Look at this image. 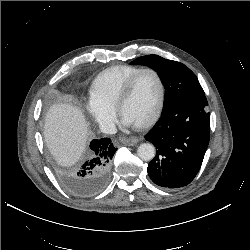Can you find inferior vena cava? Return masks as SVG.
Wrapping results in <instances>:
<instances>
[{
    "label": "inferior vena cava",
    "mask_w": 250,
    "mask_h": 250,
    "mask_svg": "<svg viewBox=\"0 0 250 250\" xmlns=\"http://www.w3.org/2000/svg\"><path fill=\"white\" fill-rule=\"evenodd\" d=\"M100 130L106 134H115L117 132L115 124L108 121H104L100 124Z\"/></svg>",
    "instance_id": "obj_1"
}]
</instances>
